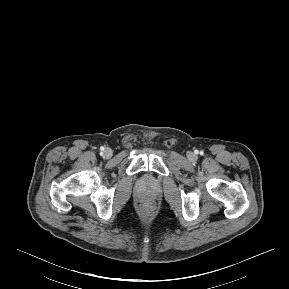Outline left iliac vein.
<instances>
[{"instance_id": "obj_1", "label": "left iliac vein", "mask_w": 289, "mask_h": 289, "mask_svg": "<svg viewBox=\"0 0 289 289\" xmlns=\"http://www.w3.org/2000/svg\"><path fill=\"white\" fill-rule=\"evenodd\" d=\"M190 157L192 158V157H193V154H190Z\"/></svg>"}]
</instances>
